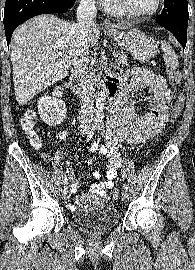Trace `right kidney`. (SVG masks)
Returning <instances> with one entry per match:
<instances>
[{
    "label": "right kidney",
    "instance_id": "right-kidney-1",
    "mask_svg": "<svg viewBox=\"0 0 195 270\" xmlns=\"http://www.w3.org/2000/svg\"><path fill=\"white\" fill-rule=\"evenodd\" d=\"M66 104L49 95H44L38 100V113L43 122L49 126L61 124L66 116Z\"/></svg>",
    "mask_w": 195,
    "mask_h": 270
}]
</instances>
